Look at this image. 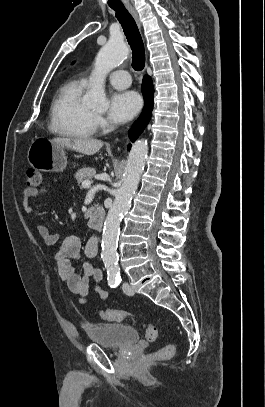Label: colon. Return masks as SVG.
Masks as SVG:
<instances>
[{
	"label": "colon",
	"instance_id": "1",
	"mask_svg": "<svg viewBox=\"0 0 265 407\" xmlns=\"http://www.w3.org/2000/svg\"><path fill=\"white\" fill-rule=\"evenodd\" d=\"M27 185L31 188L39 189L43 184L42 174L36 169L27 170ZM101 317L107 321H116L122 322L127 319H130L134 322L137 321V318L132 315L130 312L125 310L118 309H106L100 312ZM159 328L152 324L143 325V334L147 340L153 341L156 340L159 336ZM175 353V345L173 343H167L162 348H160L155 353L147 356L150 360H166L171 358Z\"/></svg>",
	"mask_w": 265,
	"mask_h": 407
}]
</instances>
